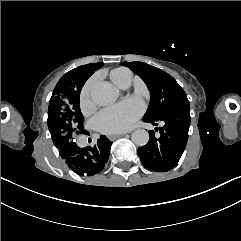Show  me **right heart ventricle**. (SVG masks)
<instances>
[{
	"instance_id": "e07e8e85",
	"label": "right heart ventricle",
	"mask_w": 241,
	"mask_h": 241,
	"mask_svg": "<svg viewBox=\"0 0 241 241\" xmlns=\"http://www.w3.org/2000/svg\"><path fill=\"white\" fill-rule=\"evenodd\" d=\"M132 74L125 68H117L111 72L112 81L121 88H127L130 85Z\"/></svg>"
}]
</instances>
